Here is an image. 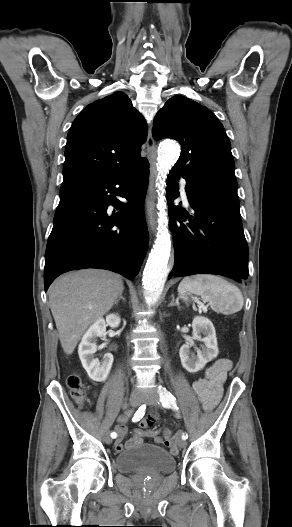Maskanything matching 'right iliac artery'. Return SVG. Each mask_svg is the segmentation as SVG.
<instances>
[{
    "label": "right iliac artery",
    "mask_w": 292,
    "mask_h": 527,
    "mask_svg": "<svg viewBox=\"0 0 292 527\" xmlns=\"http://www.w3.org/2000/svg\"><path fill=\"white\" fill-rule=\"evenodd\" d=\"M144 410H145V406H141L138 411L135 413V416L133 417V421L134 422H137L139 421L142 416L144 415ZM111 438L115 439L117 437V433L116 432H112L110 434Z\"/></svg>",
    "instance_id": "1"
}]
</instances>
